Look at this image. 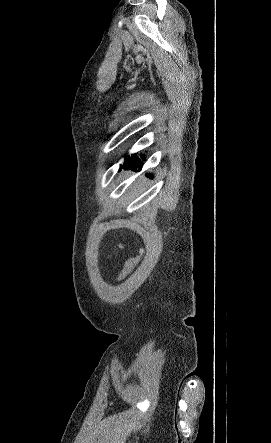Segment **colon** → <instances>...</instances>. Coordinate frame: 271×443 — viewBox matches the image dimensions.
<instances>
[{"label":"colon","mask_w":271,"mask_h":443,"mask_svg":"<svg viewBox=\"0 0 271 443\" xmlns=\"http://www.w3.org/2000/svg\"><path fill=\"white\" fill-rule=\"evenodd\" d=\"M143 255V250H140L139 254L130 258L125 266L124 269L122 270V272L119 275V280H123L125 277H127L136 267V265L139 263V261L141 260V257Z\"/></svg>","instance_id":"5ec220e1"}]
</instances>
